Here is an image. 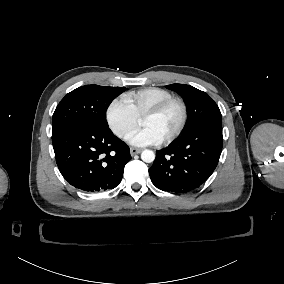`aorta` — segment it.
Returning <instances> with one entry per match:
<instances>
[{
    "mask_svg": "<svg viewBox=\"0 0 284 284\" xmlns=\"http://www.w3.org/2000/svg\"><path fill=\"white\" fill-rule=\"evenodd\" d=\"M141 159L145 163H151L155 160V153L152 150L146 149L141 153Z\"/></svg>",
    "mask_w": 284,
    "mask_h": 284,
    "instance_id": "762f6f07",
    "label": "aorta"
}]
</instances>
